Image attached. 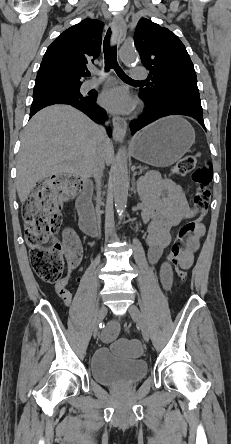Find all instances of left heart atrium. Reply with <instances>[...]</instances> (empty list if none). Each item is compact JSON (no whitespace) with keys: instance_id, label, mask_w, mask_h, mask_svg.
Masks as SVG:
<instances>
[{"instance_id":"39dd6f15","label":"left heart atrium","mask_w":231,"mask_h":444,"mask_svg":"<svg viewBox=\"0 0 231 444\" xmlns=\"http://www.w3.org/2000/svg\"><path fill=\"white\" fill-rule=\"evenodd\" d=\"M100 103L104 108L114 113H125L133 107L129 93L123 87L105 90L100 96Z\"/></svg>"}]
</instances>
